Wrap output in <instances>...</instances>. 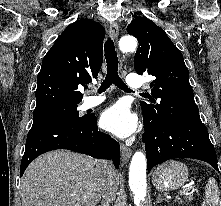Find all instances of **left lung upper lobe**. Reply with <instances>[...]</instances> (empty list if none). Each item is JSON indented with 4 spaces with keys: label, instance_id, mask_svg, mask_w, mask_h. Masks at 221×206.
I'll list each match as a JSON object with an SVG mask.
<instances>
[{
    "label": "left lung upper lobe",
    "instance_id": "left-lung-upper-lobe-1",
    "mask_svg": "<svg viewBox=\"0 0 221 206\" xmlns=\"http://www.w3.org/2000/svg\"><path fill=\"white\" fill-rule=\"evenodd\" d=\"M127 32L139 41L134 58L135 71L155 77L150 84L152 104L140 102L150 128L202 123L183 56L167 34L144 17L134 19L127 26Z\"/></svg>",
    "mask_w": 221,
    "mask_h": 206
}]
</instances>
